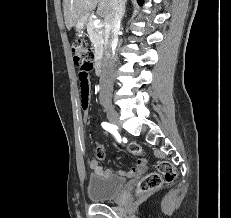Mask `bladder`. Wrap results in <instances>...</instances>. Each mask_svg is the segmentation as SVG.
<instances>
[{"label": "bladder", "instance_id": "31cf9c89", "mask_svg": "<svg viewBox=\"0 0 231 218\" xmlns=\"http://www.w3.org/2000/svg\"><path fill=\"white\" fill-rule=\"evenodd\" d=\"M125 179L108 175H91L87 183V194L93 202H103L115 198L124 188Z\"/></svg>", "mask_w": 231, "mask_h": 218}]
</instances>
